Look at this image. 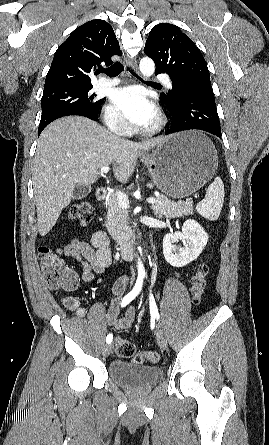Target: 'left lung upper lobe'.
I'll return each instance as SVG.
<instances>
[{"mask_svg": "<svg viewBox=\"0 0 269 445\" xmlns=\"http://www.w3.org/2000/svg\"><path fill=\"white\" fill-rule=\"evenodd\" d=\"M144 52L156 64V72L167 73L173 89L167 94L173 99L175 91L194 84L211 85L206 61L194 42L172 24L161 23L152 28Z\"/></svg>", "mask_w": 269, "mask_h": 445, "instance_id": "1", "label": "left lung upper lobe"}]
</instances>
